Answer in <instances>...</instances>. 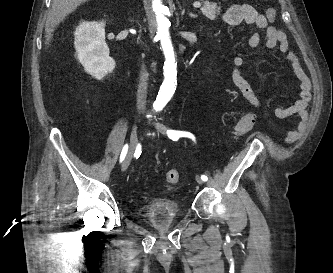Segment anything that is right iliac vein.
I'll use <instances>...</instances> for the list:
<instances>
[{
  "label": "right iliac vein",
  "mask_w": 333,
  "mask_h": 273,
  "mask_svg": "<svg viewBox=\"0 0 333 273\" xmlns=\"http://www.w3.org/2000/svg\"><path fill=\"white\" fill-rule=\"evenodd\" d=\"M137 129H138V126L137 124H135L133 126V129H132V132H131V136H130V145H129V150H128V153L124 159V162L122 164V167H121V170L122 171H125L130 162H131V159H132V156H133V153L137 147V144H138V137H137Z\"/></svg>",
  "instance_id": "obj_1"
}]
</instances>
